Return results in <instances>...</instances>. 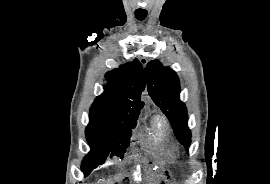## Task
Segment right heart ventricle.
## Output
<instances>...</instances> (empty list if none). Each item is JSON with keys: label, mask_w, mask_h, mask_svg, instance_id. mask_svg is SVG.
I'll list each match as a JSON object with an SVG mask.
<instances>
[{"label": "right heart ventricle", "mask_w": 270, "mask_h": 184, "mask_svg": "<svg viewBox=\"0 0 270 184\" xmlns=\"http://www.w3.org/2000/svg\"><path fill=\"white\" fill-rule=\"evenodd\" d=\"M166 136V126L165 123L156 118L151 124V132L149 134L148 139L154 143H160L164 140Z\"/></svg>", "instance_id": "1"}]
</instances>
